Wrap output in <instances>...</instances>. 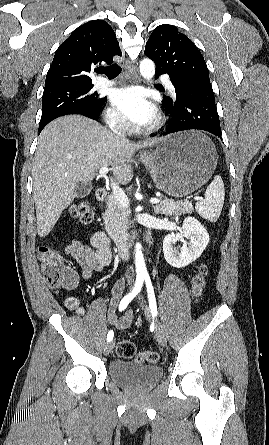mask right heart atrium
<instances>
[{"label":"right heart atrium","instance_id":"d8ad5b80","mask_svg":"<svg viewBox=\"0 0 269 445\" xmlns=\"http://www.w3.org/2000/svg\"><path fill=\"white\" fill-rule=\"evenodd\" d=\"M107 125L116 132H124L128 130L129 125L125 118L113 107H109L105 113Z\"/></svg>","mask_w":269,"mask_h":445}]
</instances>
